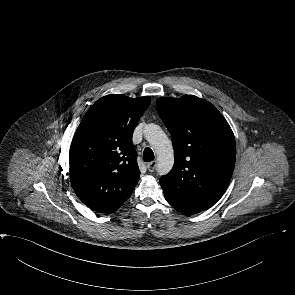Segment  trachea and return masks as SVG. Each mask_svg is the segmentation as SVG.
Instances as JSON below:
<instances>
[{
	"label": "trachea",
	"mask_w": 295,
	"mask_h": 295,
	"mask_svg": "<svg viewBox=\"0 0 295 295\" xmlns=\"http://www.w3.org/2000/svg\"><path fill=\"white\" fill-rule=\"evenodd\" d=\"M143 158L145 162H150L154 160V153L151 148L146 147L143 152Z\"/></svg>",
	"instance_id": "3493384b"
}]
</instances>
